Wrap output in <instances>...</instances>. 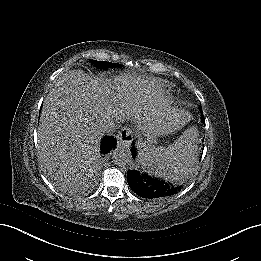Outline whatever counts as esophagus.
<instances>
[{
  "label": "esophagus",
  "instance_id": "1",
  "mask_svg": "<svg viewBox=\"0 0 261 261\" xmlns=\"http://www.w3.org/2000/svg\"><path fill=\"white\" fill-rule=\"evenodd\" d=\"M133 139L132 130L124 128L118 135V146L121 149H127Z\"/></svg>",
  "mask_w": 261,
  "mask_h": 261
}]
</instances>
